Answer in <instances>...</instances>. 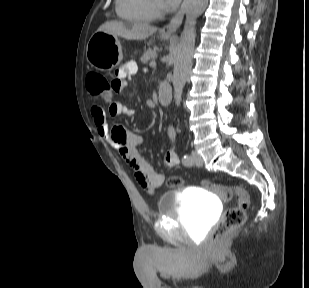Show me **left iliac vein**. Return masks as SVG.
Segmentation results:
<instances>
[{
    "mask_svg": "<svg viewBox=\"0 0 309 288\" xmlns=\"http://www.w3.org/2000/svg\"><path fill=\"white\" fill-rule=\"evenodd\" d=\"M192 161H193V164H195L196 166L203 165V159L196 151L192 152Z\"/></svg>",
    "mask_w": 309,
    "mask_h": 288,
    "instance_id": "1",
    "label": "left iliac vein"
}]
</instances>
